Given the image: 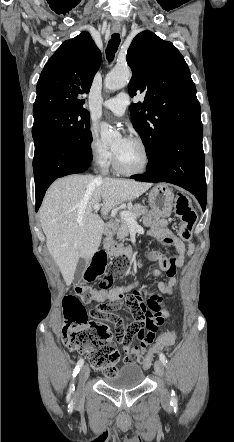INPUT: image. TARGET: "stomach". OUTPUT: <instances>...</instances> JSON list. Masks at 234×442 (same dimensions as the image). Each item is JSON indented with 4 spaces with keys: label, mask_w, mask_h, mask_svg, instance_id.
Returning a JSON list of instances; mask_svg holds the SVG:
<instances>
[{
    "label": "stomach",
    "mask_w": 234,
    "mask_h": 442,
    "mask_svg": "<svg viewBox=\"0 0 234 442\" xmlns=\"http://www.w3.org/2000/svg\"><path fill=\"white\" fill-rule=\"evenodd\" d=\"M174 204V194L167 185L157 184L149 192V205L160 217H169Z\"/></svg>",
    "instance_id": "0dacf381"
}]
</instances>
